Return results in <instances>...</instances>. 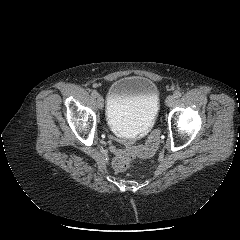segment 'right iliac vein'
<instances>
[{"instance_id":"obj_1","label":"right iliac vein","mask_w":240,"mask_h":240,"mask_svg":"<svg viewBox=\"0 0 240 240\" xmlns=\"http://www.w3.org/2000/svg\"><path fill=\"white\" fill-rule=\"evenodd\" d=\"M103 105H104V99L103 97L101 96H98L97 97V106L99 109H102L103 108Z\"/></svg>"}]
</instances>
